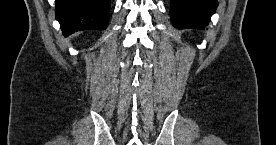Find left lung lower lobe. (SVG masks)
I'll return each mask as SVG.
<instances>
[{
    "label": "left lung lower lobe",
    "instance_id": "1",
    "mask_svg": "<svg viewBox=\"0 0 276 145\" xmlns=\"http://www.w3.org/2000/svg\"><path fill=\"white\" fill-rule=\"evenodd\" d=\"M217 0H171V21L178 29H205Z\"/></svg>",
    "mask_w": 276,
    "mask_h": 145
}]
</instances>
